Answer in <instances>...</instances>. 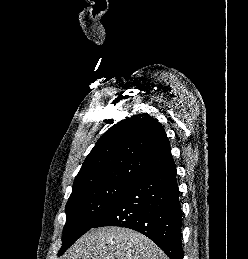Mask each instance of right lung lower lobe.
<instances>
[{
  "instance_id": "98d812e1",
  "label": "right lung lower lobe",
  "mask_w": 248,
  "mask_h": 259,
  "mask_svg": "<svg viewBox=\"0 0 248 259\" xmlns=\"http://www.w3.org/2000/svg\"><path fill=\"white\" fill-rule=\"evenodd\" d=\"M175 163L134 181L93 227L120 226L154 241L170 259H183L182 212Z\"/></svg>"
}]
</instances>
